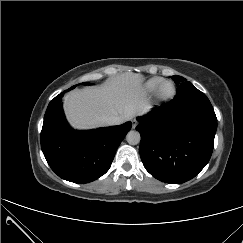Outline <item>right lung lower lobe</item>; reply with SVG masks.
<instances>
[{"instance_id":"1","label":"right lung lower lobe","mask_w":243,"mask_h":243,"mask_svg":"<svg viewBox=\"0 0 243 243\" xmlns=\"http://www.w3.org/2000/svg\"><path fill=\"white\" fill-rule=\"evenodd\" d=\"M65 92L48 105L41 131V148L49 166L59 177L74 183L92 182L110 168L118 146L130 131L131 122L75 131L63 113L61 99Z\"/></svg>"}]
</instances>
